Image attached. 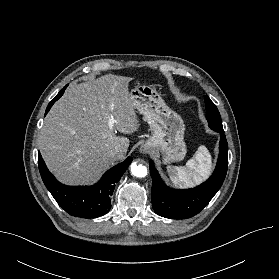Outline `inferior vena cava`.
Listing matches in <instances>:
<instances>
[{
	"label": "inferior vena cava",
	"instance_id": "inferior-vena-cava-1",
	"mask_svg": "<svg viewBox=\"0 0 279 279\" xmlns=\"http://www.w3.org/2000/svg\"><path fill=\"white\" fill-rule=\"evenodd\" d=\"M120 154H121V150L119 148H115L109 152V155L111 157H116L119 156Z\"/></svg>",
	"mask_w": 279,
	"mask_h": 279
}]
</instances>
